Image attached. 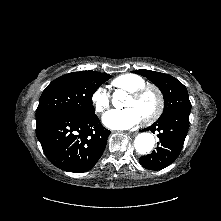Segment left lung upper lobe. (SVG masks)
Wrapping results in <instances>:
<instances>
[{
  "mask_svg": "<svg viewBox=\"0 0 221 221\" xmlns=\"http://www.w3.org/2000/svg\"><path fill=\"white\" fill-rule=\"evenodd\" d=\"M147 77L162 92L164 97V111L160 119L174 113H190L191 103L186 87L171 75L140 69L133 71Z\"/></svg>",
  "mask_w": 221,
  "mask_h": 221,
  "instance_id": "left-lung-upper-lobe-1",
  "label": "left lung upper lobe"
}]
</instances>
